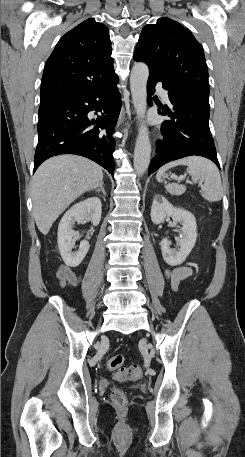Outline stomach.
I'll use <instances>...</instances> for the list:
<instances>
[{
	"instance_id": "1",
	"label": "stomach",
	"mask_w": 245,
	"mask_h": 457,
	"mask_svg": "<svg viewBox=\"0 0 245 457\" xmlns=\"http://www.w3.org/2000/svg\"><path fill=\"white\" fill-rule=\"evenodd\" d=\"M164 178H166L167 174H163Z\"/></svg>"
}]
</instances>
